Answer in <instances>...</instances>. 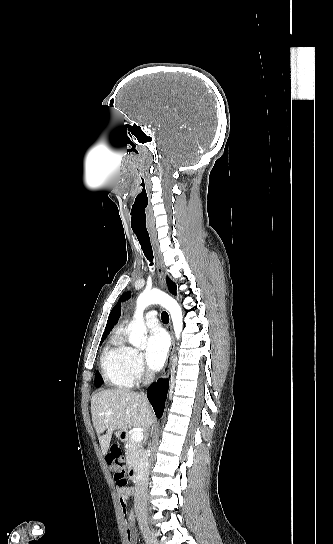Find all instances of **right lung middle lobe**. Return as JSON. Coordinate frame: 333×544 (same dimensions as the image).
I'll return each instance as SVG.
<instances>
[{
	"mask_svg": "<svg viewBox=\"0 0 333 544\" xmlns=\"http://www.w3.org/2000/svg\"><path fill=\"white\" fill-rule=\"evenodd\" d=\"M105 338H106V337H104V338L101 339L100 344L103 343V341L105 340ZM101 384H102V378H101L99 372H96L95 385H96V387H100Z\"/></svg>",
	"mask_w": 333,
	"mask_h": 544,
	"instance_id": "right-lung-middle-lobe-1",
	"label": "right lung middle lobe"
}]
</instances>
